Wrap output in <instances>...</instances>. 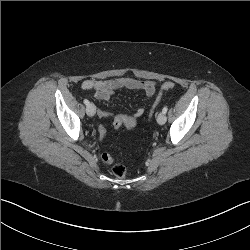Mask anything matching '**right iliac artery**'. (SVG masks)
<instances>
[{"mask_svg": "<svg viewBox=\"0 0 250 250\" xmlns=\"http://www.w3.org/2000/svg\"><path fill=\"white\" fill-rule=\"evenodd\" d=\"M84 104H85V105H89L90 102H89L87 99H84Z\"/></svg>", "mask_w": 250, "mask_h": 250, "instance_id": "82829eb1", "label": "right iliac artery"}]
</instances>
